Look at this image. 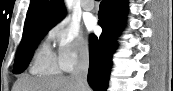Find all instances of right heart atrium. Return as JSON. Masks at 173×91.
I'll use <instances>...</instances> for the list:
<instances>
[{
	"label": "right heart atrium",
	"mask_w": 173,
	"mask_h": 91,
	"mask_svg": "<svg viewBox=\"0 0 173 91\" xmlns=\"http://www.w3.org/2000/svg\"><path fill=\"white\" fill-rule=\"evenodd\" d=\"M48 39L56 47L57 60L65 72L72 71L89 54L88 38L69 19H64L54 25L48 32Z\"/></svg>",
	"instance_id": "obj_1"
}]
</instances>
